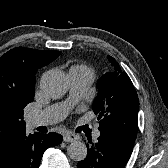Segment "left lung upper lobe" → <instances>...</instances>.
Listing matches in <instances>:
<instances>
[{"label":"left lung upper lobe","mask_w":168,"mask_h":168,"mask_svg":"<svg viewBox=\"0 0 168 168\" xmlns=\"http://www.w3.org/2000/svg\"><path fill=\"white\" fill-rule=\"evenodd\" d=\"M112 72L104 74L97 84L98 95L93 111L98 114L99 130H116L133 138L137 136L139 100L126 72L108 56Z\"/></svg>","instance_id":"5c2ea615"}]
</instances>
